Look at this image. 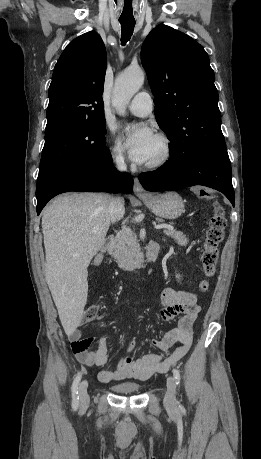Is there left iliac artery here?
Returning <instances> with one entry per match:
<instances>
[{
	"mask_svg": "<svg viewBox=\"0 0 261 459\" xmlns=\"http://www.w3.org/2000/svg\"><path fill=\"white\" fill-rule=\"evenodd\" d=\"M173 376L175 378L176 384L179 385L181 377H180V373H179V371L177 369H173ZM181 408H182V406H181Z\"/></svg>",
	"mask_w": 261,
	"mask_h": 459,
	"instance_id": "1",
	"label": "left iliac artery"
}]
</instances>
